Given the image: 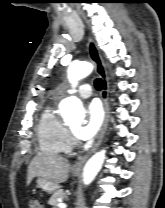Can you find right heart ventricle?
Wrapping results in <instances>:
<instances>
[{
	"label": "right heart ventricle",
	"instance_id": "obj_1",
	"mask_svg": "<svg viewBox=\"0 0 165 208\" xmlns=\"http://www.w3.org/2000/svg\"><path fill=\"white\" fill-rule=\"evenodd\" d=\"M36 133L39 148L44 153L59 155L71 149L68 129L52 106H46L41 113Z\"/></svg>",
	"mask_w": 165,
	"mask_h": 208
}]
</instances>
